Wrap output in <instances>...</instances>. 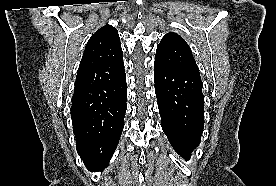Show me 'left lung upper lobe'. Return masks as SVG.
Here are the masks:
<instances>
[{
	"label": "left lung upper lobe",
	"mask_w": 276,
	"mask_h": 186,
	"mask_svg": "<svg viewBox=\"0 0 276 186\" xmlns=\"http://www.w3.org/2000/svg\"><path fill=\"white\" fill-rule=\"evenodd\" d=\"M155 62L199 74L190 47L181 36L172 32L166 34L158 44Z\"/></svg>",
	"instance_id": "obj_1"
}]
</instances>
